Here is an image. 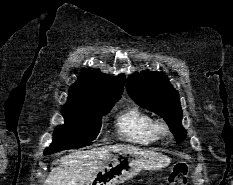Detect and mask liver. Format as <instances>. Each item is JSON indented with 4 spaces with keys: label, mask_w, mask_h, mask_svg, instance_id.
<instances>
[{
    "label": "liver",
    "mask_w": 233,
    "mask_h": 185,
    "mask_svg": "<svg viewBox=\"0 0 233 185\" xmlns=\"http://www.w3.org/2000/svg\"><path fill=\"white\" fill-rule=\"evenodd\" d=\"M122 144L102 146L90 150L70 153L52 164L44 185H84L96 174L116 153L127 149Z\"/></svg>",
    "instance_id": "6515ba94"
}]
</instances>
